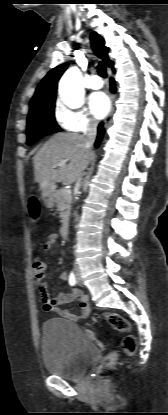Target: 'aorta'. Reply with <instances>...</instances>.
<instances>
[{
  "label": "aorta",
  "instance_id": "762f6f07",
  "mask_svg": "<svg viewBox=\"0 0 168 415\" xmlns=\"http://www.w3.org/2000/svg\"><path fill=\"white\" fill-rule=\"evenodd\" d=\"M61 100L70 108L76 109L84 103L82 76L78 68L73 67L65 72L59 83Z\"/></svg>",
  "mask_w": 168,
  "mask_h": 415
}]
</instances>
